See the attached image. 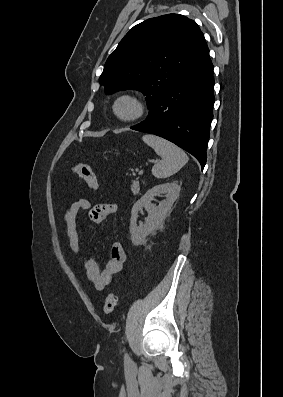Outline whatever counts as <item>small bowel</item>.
<instances>
[{"mask_svg": "<svg viewBox=\"0 0 283 397\" xmlns=\"http://www.w3.org/2000/svg\"><path fill=\"white\" fill-rule=\"evenodd\" d=\"M81 211H88L91 221L101 223L116 215L117 205L112 203L93 205L88 199L79 198L67 207L62 221L73 253L80 251L77 217ZM125 260L126 253L123 246L119 242H114L111 246L110 258L103 268H100L93 257L86 258L84 264L87 278L97 290H103L110 284L113 276L122 270Z\"/></svg>", "mask_w": 283, "mask_h": 397, "instance_id": "obj_1", "label": "small bowel"}]
</instances>
